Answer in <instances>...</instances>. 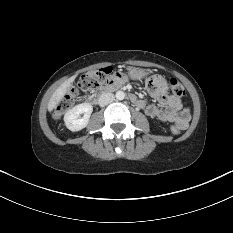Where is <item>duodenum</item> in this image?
Returning <instances> with one entry per match:
<instances>
[{
  "label": "duodenum",
  "mask_w": 233,
  "mask_h": 233,
  "mask_svg": "<svg viewBox=\"0 0 233 233\" xmlns=\"http://www.w3.org/2000/svg\"><path fill=\"white\" fill-rule=\"evenodd\" d=\"M117 86L118 85H115V84H110L108 86H105L104 88H102L99 92L95 93V94H92L90 96L87 97V101L92 103V104H95L98 102V100L100 99V97L112 90H115L117 89ZM130 99L131 101L136 104V105H139L140 104V100L134 96V95H130Z\"/></svg>",
  "instance_id": "1"
}]
</instances>
